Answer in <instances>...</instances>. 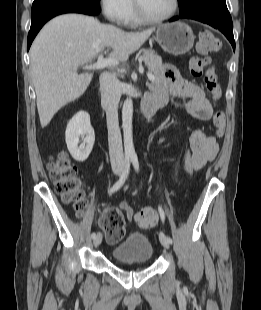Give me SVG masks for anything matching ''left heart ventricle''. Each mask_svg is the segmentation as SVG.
Instances as JSON below:
<instances>
[{
	"mask_svg": "<svg viewBox=\"0 0 261 310\" xmlns=\"http://www.w3.org/2000/svg\"><path fill=\"white\" fill-rule=\"evenodd\" d=\"M143 12L150 17L166 15L173 6V0H137Z\"/></svg>",
	"mask_w": 261,
	"mask_h": 310,
	"instance_id": "left-heart-ventricle-1",
	"label": "left heart ventricle"
}]
</instances>
